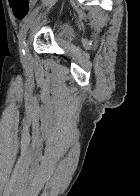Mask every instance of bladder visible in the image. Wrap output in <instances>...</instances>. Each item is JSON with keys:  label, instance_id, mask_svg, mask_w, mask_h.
Segmentation results:
<instances>
[{"label": "bladder", "instance_id": "bladder-1", "mask_svg": "<svg viewBox=\"0 0 140 196\" xmlns=\"http://www.w3.org/2000/svg\"><path fill=\"white\" fill-rule=\"evenodd\" d=\"M56 38L62 42H69L72 39L71 31L66 21H56L53 25Z\"/></svg>", "mask_w": 140, "mask_h": 196}]
</instances>
